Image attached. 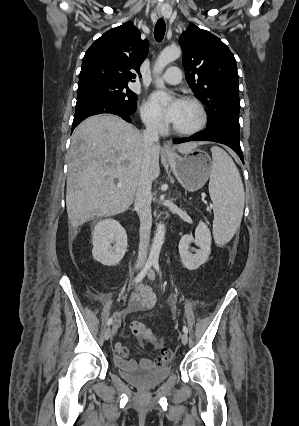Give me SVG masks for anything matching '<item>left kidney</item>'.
Wrapping results in <instances>:
<instances>
[{
  "label": "left kidney",
  "instance_id": "obj_1",
  "mask_svg": "<svg viewBox=\"0 0 299 426\" xmlns=\"http://www.w3.org/2000/svg\"><path fill=\"white\" fill-rule=\"evenodd\" d=\"M211 233L206 223L200 221L196 230L195 238L190 235H184L180 239L178 248L183 265L188 270H195L204 264L211 253ZM195 244L200 248L195 254L190 253V244Z\"/></svg>",
  "mask_w": 299,
  "mask_h": 426
}]
</instances>
